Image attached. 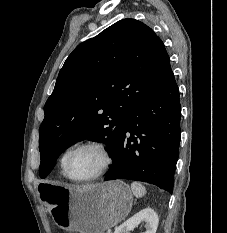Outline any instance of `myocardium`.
Returning a JSON list of instances; mask_svg holds the SVG:
<instances>
[{
    "label": "myocardium",
    "mask_w": 227,
    "mask_h": 233,
    "mask_svg": "<svg viewBox=\"0 0 227 233\" xmlns=\"http://www.w3.org/2000/svg\"><path fill=\"white\" fill-rule=\"evenodd\" d=\"M88 147L95 148L102 154L103 160H104L103 165L99 169V171L93 174L92 176H89L87 178H82V179H75L70 175V172H69V159L76 151L82 148H88ZM112 163H113V156L108 146L101 141L89 140V141H85L80 144H77L76 146L72 147L68 151L65 157V161H64V173H65V176L73 182H76V183L90 182V181L97 180L100 177H102L104 174H106V172L110 169Z\"/></svg>",
    "instance_id": "myocardium-1"
}]
</instances>
